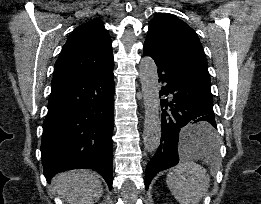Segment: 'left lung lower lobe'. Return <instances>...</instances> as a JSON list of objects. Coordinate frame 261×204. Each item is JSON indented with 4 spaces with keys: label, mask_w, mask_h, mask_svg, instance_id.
I'll return each mask as SVG.
<instances>
[{
    "label": "left lung lower lobe",
    "mask_w": 261,
    "mask_h": 204,
    "mask_svg": "<svg viewBox=\"0 0 261 204\" xmlns=\"http://www.w3.org/2000/svg\"><path fill=\"white\" fill-rule=\"evenodd\" d=\"M144 55L152 57L158 66L159 81L165 84L160 96L173 94L172 101L161 100V107L165 108L161 117L162 137L146 168L145 187L148 189L158 172L179 162L180 151H195L202 141L211 144L217 125L209 78L146 44ZM189 123L197 124L185 133L183 127Z\"/></svg>",
    "instance_id": "1"
}]
</instances>
